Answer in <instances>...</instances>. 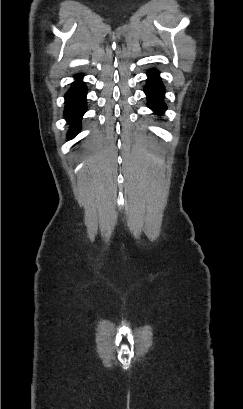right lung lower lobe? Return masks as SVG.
<instances>
[{
    "mask_svg": "<svg viewBox=\"0 0 243 409\" xmlns=\"http://www.w3.org/2000/svg\"><path fill=\"white\" fill-rule=\"evenodd\" d=\"M82 75L76 76V82L65 95L64 117L71 124L68 137L76 136L80 129V120L86 112V86L81 81Z\"/></svg>",
    "mask_w": 243,
    "mask_h": 409,
    "instance_id": "obj_1",
    "label": "right lung lower lobe"
}]
</instances>
